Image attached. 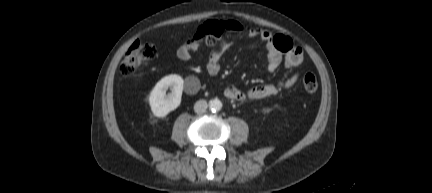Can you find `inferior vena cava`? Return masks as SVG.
Instances as JSON below:
<instances>
[{"mask_svg": "<svg viewBox=\"0 0 432 193\" xmlns=\"http://www.w3.org/2000/svg\"><path fill=\"white\" fill-rule=\"evenodd\" d=\"M208 104L205 100H199L194 105V111L197 114H202L207 110Z\"/></svg>", "mask_w": 432, "mask_h": 193, "instance_id": "inferior-vena-cava-1", "label": "inferior vena cava"}]
</instances>
